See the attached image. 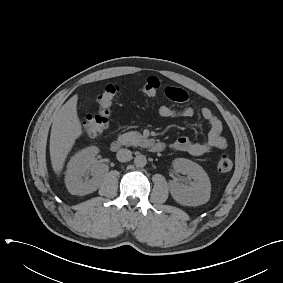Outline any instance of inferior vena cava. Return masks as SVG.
<instances>
[{
    "mask_svg": "<svg viewBox=\"0 0 283 283\" xmlns=\"http://www.w3.org/2000/svg\"><path fill=\"white\" fill-rule=\"evenodd\" d=\"M116 157L120 162H127L132 159V152L128 149H120L117 152Z\"/></svg>",
    "mask_w": 283,
    "mask_h": 283,
    "instance_id": "inferior-vena-cava-1",
    "label": "inferior vena cava"
}]
</instances>
